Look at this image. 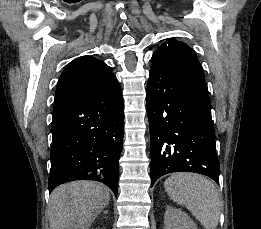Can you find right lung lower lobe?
<instances>
[{
  "instance_id": "1",
  "label": "right lung lower lobe",
  "mask_w": 261,
  "mask_h": 229,
  "mask_svg": "<svg viewBox=\"0 0 261 229\" xmlns=\"http://www.w3.org/2000/svg\"><path fill=\"white\" fill-rule=\"evenodd\" d=\"M123 125L116 77L53 117L49 191L70 181L94 180L117 197Z\"/></svg>"
}]
</instances>
